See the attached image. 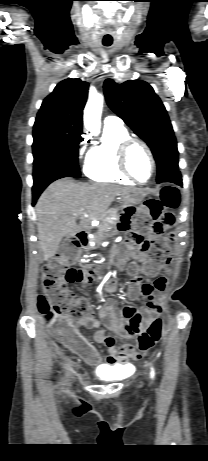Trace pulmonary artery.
<instances>
[{
	"mask_svg": "<svg viewBox=\"0 0 208 461\" xmlns=\"http://www.w3.org/2000/svg\"><path fill=\"white\" fill-rule=\"evenodd\" d=\"M104 124L105 126L118 127L122 126L123 122L119 117L115 115H108L104 119Z\"/></svg>",
	"mask_w": 208,
	"mask_h": 461,
	"instance_id": "pulmonary-artery-1",
	"label": "pulmonary artery"
}]
</instances>
